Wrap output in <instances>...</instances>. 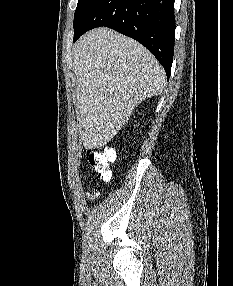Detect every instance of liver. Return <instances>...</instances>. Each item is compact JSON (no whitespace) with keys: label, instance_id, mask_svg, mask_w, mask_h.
Returning <instances> with one entry per match:
<instances>
[{"label":"liver","instance_id":"6515ba94","mask_svg":"<svg viewBox=\"0 0 233 286\" xmlns=\"http://www.w3.org/2000/svg\"><path fill=\"white\" fill-rule=\"evenodd\" d=\"M80 139L87 149L105 145L134 108L159 95L166 75L137 41L107 28L86 33L74 46Z\"/></svg>","mask_w":233,"mask_h":286}]
</instances>
